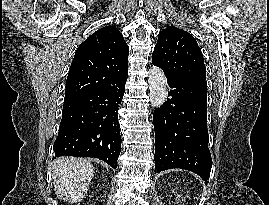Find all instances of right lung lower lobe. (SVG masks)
<instances>
[{
  "label": "right lung lower lobe",
  "instance_id": "obj_1",
  "mask_svg": "<svg viewBox=\"0 0 269 205\" xmlns=\"http://www.w3.org/2000/svg\"><path fill=\"white\" fill-rule=\"evenodd\" d=\"M127 76L128 72L117 86L65 97L55 157H94L117 168L121 150L117 111Z\"/></svg>",
  "mask_w": 269,
  "mask_h": 205
}]
</instances>
